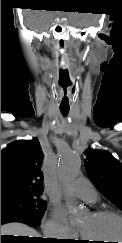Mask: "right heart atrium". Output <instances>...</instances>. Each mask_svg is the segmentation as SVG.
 <instances>
[{"instance_id": "1", "label": "right heart atrium", "mask_w": 122, "mask_h": 243, "mask_svg": "<svg viewBox=\"0 0 122 243\" xmlns=\"http://www.w3.org/2000/svg\"><path fill=\"white\" fill-rule=\"evenodd\" d=\"M44 231L47 235L56 239L73 238L76 236L75 233L62 223L57 215L51 216L46 221L44 224Z\"/></svg>"}]
</instances>
